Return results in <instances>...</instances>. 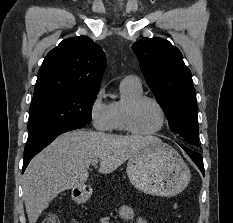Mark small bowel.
I'll return each mask as SVG.
<instances>
[{
	"instance_id": "c3829d8e",
	"label": "small bowel",
	"mask_w": 233,
	"mask_h": 223,
	"mask_svg": "<svg viewBox=\"0 0 233 223\" xmlns=\"http://www.w3.org/2000/svg\"><path fill=\"white\" fill-rule=\"evenodd\" d=\"M119 217L123 221L136 220V223H147V220L140 215H136L133 209L128 205H122L119 209ZM103 223H107V220H103Z\"/></svg>"
}]
</instances>
